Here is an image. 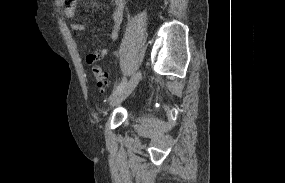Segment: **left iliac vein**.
<instances>
[{
    "mask_svg": "<svg viewBox=\"0 0 285 183\" xmlns=\"http://www.w3.org/2000/svg\"><path fill=\"white\" fill-rule=\"evenodd\" d=\"M141 78V72L139 70L135 71L125 86L118 91L111 99L110 106H115L122 102L129 94L135 89L139 80Z\"/></svg>",
    "mask_w": 285,
    "mask_h": 183,
    "instance_id": "obj_1",
    "label": "left iliac vein"
}]
</instances>
